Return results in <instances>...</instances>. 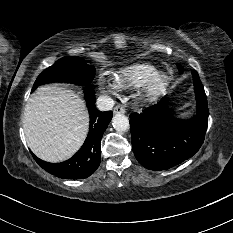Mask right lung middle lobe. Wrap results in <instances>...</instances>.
<instances>
[{"instance_id": "obj_1", "label": "right lung middle lobe", "mask_w": 233, "mask_h": 233, "mask_svg": "<svg viewBox=\"0 0 233 233\" xmlns=\"http://www.w3.org/2000/svg\"><path fill=\"white\" fill-rule=\"evenodd\" d=\"M79 57H64L43 71L34 83L32 91L39 85L52 82H68L78 85L89 84L95 75V68Z\"/></svg>"}]
</instances>
